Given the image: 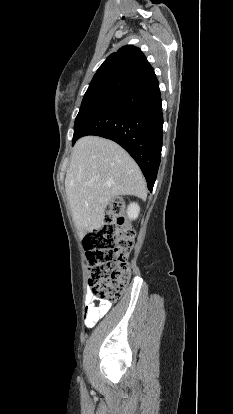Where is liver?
Returning a JSON list of instances; mask_svg holds the SVG:
<instances>
[{
	"label": "liver",
	"mask_w": 233,
	"mask_h": 414,
	"mask_svg": "<svg viewBox=\"0 0 233 414\" xmlns=\"http://www.w3.org/2000/svg\"><path fill=\"white\" fill-rule=\"evenodd\" d=\"M65 190L81 237L102 227L105 209L116 196L147 197L146 182L136 162L117 143L98 136L76 142Z\"/></svg>",
	"instance_id": "obj_1"
}]
</instances>
